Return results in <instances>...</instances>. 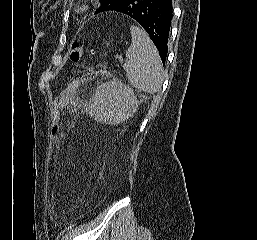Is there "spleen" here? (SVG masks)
Returning <instances> with one entry per match:
<instances>
[{
    "mask_svg": "<svg viewBox=\"0 0 257 240\" xmlns=\"http://www.w3.org/2000/svg\"><path fill=\"white\" fill-rule=\"evenodd\" d=\"M132 42L126 51L125 66L128 81L139 91L156 93L163 83L160 55L148 34L141 28L130 26Z\"/></svg>",
    "mask_w": 257,
    "mask_h": 240,
    "instance_id": "obj_1",
    "label": "spleen"
}]
</instances>
